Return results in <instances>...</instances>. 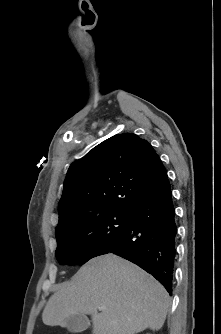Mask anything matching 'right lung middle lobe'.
<instances>
[{
  "label": "right lung middle lobe",
  "mask_w": 221,
  "mask_h": 334,
  "mask_svg": "<svg viewBox=\"0 0 221 334\" xmlns=\"http://www.w3.org/2000/svg\"><path fill=\"white\" fill-rule=\"evenodd\" d=\"M131 213L110 212L77 223L57 238L60 263L83 265L114 247L128 226Z\"/></svg>",
  "instance_id": "1"
}]
</instances>
